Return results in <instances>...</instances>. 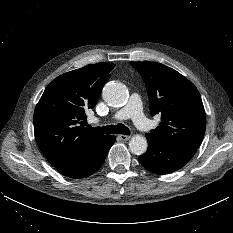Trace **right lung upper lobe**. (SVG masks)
Here are the masks:
<instances>
[{"label": "right lung upper lobe", "mask_w": 233, "mask_h": 233, "mask_svg": "<svg viewBox=\"0 0 233 233\" xmlns=\"http://www.w3.org/2000/svg\"><path fill=\"white\" fill-rule=\"evenodd\" d=\"M114 67L112 63L87 65L60 75L46 87L35 108L34 134L41 152L54 167L80 158L109 136L88 132L82 124Z\"/></svg>", "instance_id": "obj_1"}]
</instances>
